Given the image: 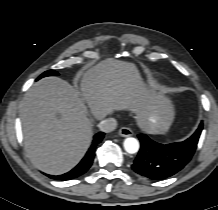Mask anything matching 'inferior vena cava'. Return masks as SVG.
Returning <instances> with one entry per match:
<instances>
[{
  "label": "inferior vena cava",
  "instance_id": "1",
  "mask_svg": "<svg viewBox=\"0 0 218 210\" xmlns=\"http://www.w3.org/2000/svg\"><path fill=\"white\" fill-rule=\"evenodd\" d=\"M98 127L101 131L108 133L116 129L117 121L114 118H107V119L102 120L98 124Z\"/></svg>",
  "mask_w": 218,
  "mask_h": 210
}]
</instances>
